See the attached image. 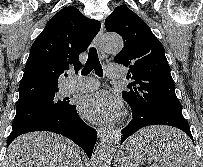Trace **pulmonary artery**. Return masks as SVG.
I'll use <instances>...</instances> for the list:
<instances>
[{
	"instance_id": "1",
	"label": "pulmonary artery",
	"mask_w": 203,
	"mask_h": 167,
	"mask_svg": "<svg viewBox=\"0 0 203 167\" xmlns=\"http://www.w3.org/2000/svg\"><path fill=\"white\" fill-rule=\"evenodd\" d=\"M107 75L110 78H120L124 74V68L118 64H111L106 67ZM98 86V83L93 78H81L77 75L71 76L66 85L68 92L92 90Z\"/></svg>"
}]
</instances>
